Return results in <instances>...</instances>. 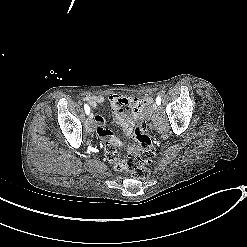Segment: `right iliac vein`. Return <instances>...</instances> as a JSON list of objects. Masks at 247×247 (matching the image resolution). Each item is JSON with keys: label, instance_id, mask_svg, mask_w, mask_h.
I'll return each instance as SVG.
<instances>
[{"label": "right iliac vein", "instance_id": "obj_1", "mask_svg": "<svg viewBox=\"0 0 247 247\" xmlns=\"http://www.w3.org/2000/svg\"><path fill=\"white\" fill-rule=\"evenodd\" d=\"M89 117H90V119H92L93 118V114L89 113Z\"/></svg>", "mask_w": 247, "mask_h": 247}]
</instances>
